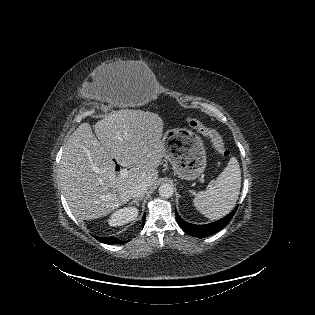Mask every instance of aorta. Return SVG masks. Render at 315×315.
<instances>
[{
  "instance_id": "obj_1",
  "label": "aorta",
  "mask_w": 315,
  "mask_h": 315,
  "mask_svg": "<svg viewBox=\"0 0 315 315\" xmlns=\"http://www.w3.org/2000/svg\"><path fill=\"white\" fill-rule=\"evenodd\" d=\"M159 195L163 198H169L173 195V186L167 183L162 184L159 189Z\"/></svg>"
}]
</instances>
